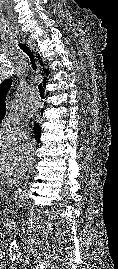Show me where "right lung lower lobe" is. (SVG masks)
<instances>
[{
  "instance_id": "obj_1",
  "label": "right lung lower lobe",
  "mask_w": 118,
  "mask_h": 269,
  "mask_svg": "<svg viewBox=\"0 0 118 269\" xmlns=\"http://www.w3.org/2000/svg\"><path fill=\"white\" fill-rule=\"evenodd\" d=\"M40 135H41V130L40 128H35V138L39 142L40 140Z\"/></svg>"
}]
</instances>
